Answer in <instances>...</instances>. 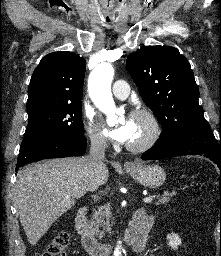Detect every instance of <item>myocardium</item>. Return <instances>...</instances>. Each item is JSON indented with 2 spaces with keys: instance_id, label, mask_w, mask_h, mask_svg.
<instances>
[{
  "instance_id": "f54148a6",
  "label": "myocardium",
  "mask_w": 221,
  "mask_h": 256,
  "mask_svg": "<svg viewBox=\"0 0 221 256\" xmlns=\"http://www.w3.org/2000/svg\"><path fill=\"white\" fill-rule=\"evenodd\" d=\"M132 116H139L146 119L149 124V133L142 141L137 143H128L127 148L133 152H143L153 147L159 140L162 133V126L156 114L148 108H137Z\"/></svg>"
}]
</instances>
